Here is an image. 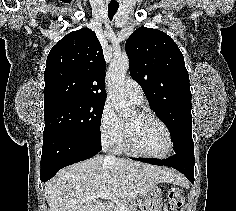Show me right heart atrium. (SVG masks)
Returning <instances> with one entry per match:
<instances>
[{
  "label": "right heart atrium",
  "mask_w": 236,
  "mask_h": 211,
  "mask_svg": "<svg viewBox=\"0 0 236 211\" xmlns=\"http://www.w3.org/2000/svg\"><path fill=\"white\" fill-rule=\"evenodd\" d=\"M99 133L102 143L112 148L117 147L123 137V123L109 102L104 104L100 114Z\"/></svg>",
  "instance_id": "1"
}]
</instances>
